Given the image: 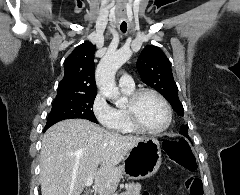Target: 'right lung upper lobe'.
<instances>
[{
	"label": "right lung upper lobe",
	"instance_id": "cb5924a9",
	"mask_svg": "<svg viewBox=\"0 0 240 195\" xmlns=\"http://www.w3.org/2000/svg\"><path fill=\"white\" fill-rule=\"evenodd\" d=\"M96 46L85 42L66 58L64 77L59 83L57 96L96 95L94 53Z\"/></svg>",
	"mask_w": 240,
	"mask_h": 195
}]
</instances>
